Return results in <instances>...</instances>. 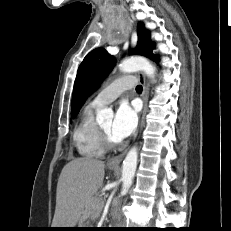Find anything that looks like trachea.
<instances>
[{
    "label": "trachea",
    "mask_w": 231,
    "mask_h": 231,
    "mask_svg": "<svg viewBox=\"0 0 231 231\" xmlns=\"http://www.w3.org/2000/svg\"><path fill=\"white\" fill-rule=\"evenodd\" d=\"M136 91H137V92H142V86H141V85H138V86L136 87Z\"/></svg>",
    "instance_id": "obj_1"
}]
</instances>
